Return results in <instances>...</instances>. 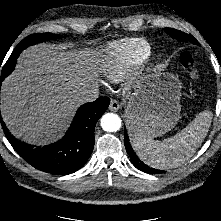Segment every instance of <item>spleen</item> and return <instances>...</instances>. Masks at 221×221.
<instances>
[{
	"instance_id": "3e777b00",
	"label": "spleen",
	"mask_w": 221,
	"mask_h": 221,
	"mask_svg": "<svg viewBox=\"0 0 221 221\" xmlns=\"http://www.w3.org/2000/svg\"><path fill=\"white\" fill-rule=\"evenodd\" d=\"M212 121V112H200L184 129L171 138L154 141L135 137L133 146L145 164L159 170L173 169L185 163L202 144Z\"/></svg>"
}]
</instances>
